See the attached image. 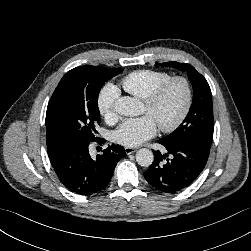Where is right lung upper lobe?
Segmentation results:
<instances>
[{
    "instance_id": "right-lung-upper-lobe-1",
    "label": "right lung upper lobe",
    "mask_w": 251,
    "mask_h": 251,
    "mask_svg": "<svg viewBox=\"0 0 251 251\" xmlns=\"http://www.w3.org/2000/svg\"><path fill=\"white\" fill-rule=\"evenodd\" d=\"M47 138V150H48V153L53 151L55 149V147L58 146V144L61 142V141H58V140H54V139H51V138Z\"/></svg>"
}]
</instances>
